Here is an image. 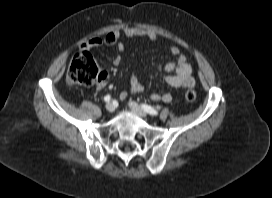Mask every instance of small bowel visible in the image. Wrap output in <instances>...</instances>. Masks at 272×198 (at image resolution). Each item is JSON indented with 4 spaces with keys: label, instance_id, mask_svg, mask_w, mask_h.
Returning <instances> with one entry per match:
<instances>
[{
    "label": "small bowel",
    "instance_id": "1",
    "mask_svg": "<svg viewBox=\"0 0 272 198\" xmlns=\"http://www.w3.org/2000/svg\"><path fill=\"white\" fill-rule=\"evenodd\" d=\"M121 36L127 38L145 37L151 40H157V35L151 31L142 30L136 27H126L123 30L109 32L105 37H94L82 44V49L91 50L102 45L116 46L119 52H124L125 45L120 41ZM171 53L175 56V60L165 65L164 70L167 73L165 82L174 88L190 89L194 87L195 80L192 76V67L187 57L178 47L171 46ZM121 63V56L117 55L113 59V64L118 66ZM108 76H102L96 84L97 90H103L108 84ZM144 90L143 85L138 81L135 75L130 77V91L138 94ZM127 96L126 92L120 93V99L124 100ZM150 99L155 102L169 103L172 96L169 93H152Z\"/></svg>",
    "mask_w": 272,
    "mask_h": 198
}]
</instances>
